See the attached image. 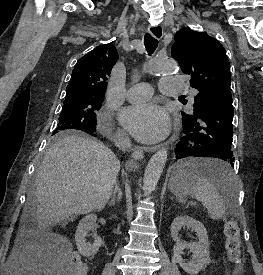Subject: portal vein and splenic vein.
I'll list each match as a JSON object with an SVG mask.
<instances>
[{
  "mask_svg": "<svg viewBox=\"0 0 263 275\" xmlns=\"http://www.w3.org/2000/svg\"><path fill=\"white\" fill-rule=\"evenodd\" d=\"M190 204H191V205H195V204H196V202H191Z\"/></svg>",
  "mask_w": 263,
  "mask_h": 275,
  "instance_id": "1",
  "label": "portal vein and splenic vein"
}]
</instances>
